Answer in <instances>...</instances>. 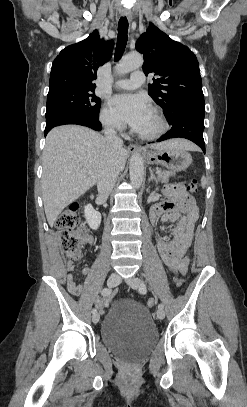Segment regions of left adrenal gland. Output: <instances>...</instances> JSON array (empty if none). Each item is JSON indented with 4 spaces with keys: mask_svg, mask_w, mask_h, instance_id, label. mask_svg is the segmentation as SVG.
<instances>
[{
    "mask_svg": "<svg viewBox=\"0 0 247 407\" xmlns=\"http://www.w3.org/2000/svg\"><path fill=\"white\" fill-rule=\"evenodd\" d=\"M150 180H155V182L157 183V178H156V176L154 175L153 170H151V169H150V178H149V181H150Z\"/></svg>",
    "mask_w": 247,
    "mask_h": 407,
    "instance_id": "a2214340",
    "label": "left adrenal gland"
}]
</instances>
